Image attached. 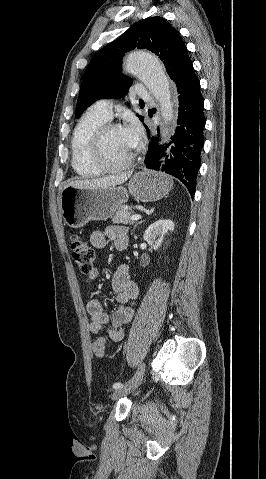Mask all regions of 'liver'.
Here are the masks:
<instances>
[{
    "label": "liver",
    "instance_id": "6515ba94",
    "mask_svg": "<svg viewBox=\"0 0 266 479\" xmlns=\"http://www.w3.org/2000/svg\"><path fill=\"white\" fill-rule=\"evenodd\" d=\"M131 172L122 173L119 175H113L109 177L97 178V179H86V180H75L69 182L66 187L73 186L79 189L82 188H106L110 186H115L124 183L127 181Z\"/></svg>",
    "mask_w": 266,
    "mask_h": 479
}]
</instances>
